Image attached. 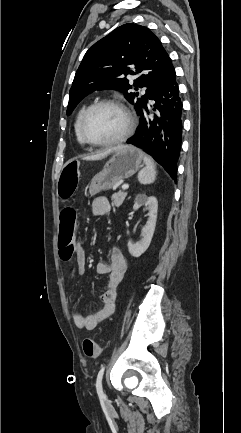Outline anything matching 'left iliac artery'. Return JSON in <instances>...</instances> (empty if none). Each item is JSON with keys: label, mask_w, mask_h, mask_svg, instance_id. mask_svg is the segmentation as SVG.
Segmentation results:
<instances>
[{"label": "left iliac artery", "mask_w": 241, "mask_h": 433, "mask_svg": "<svg viewBox=\"0 0 241 433\" xmlns=\"http://www.w3.org/2000/svg\"><path fill=\"white\" fill-rule=\"evenodd\" d=\"M104 370H105V366H102L100 371L98 372L97 379H96V390L98 396L101 398H105V394L102 388V378H103Z\"/></svg>", "instance_id": "obj_1"}]
</instances>
